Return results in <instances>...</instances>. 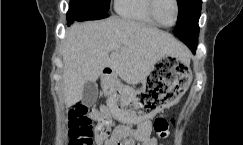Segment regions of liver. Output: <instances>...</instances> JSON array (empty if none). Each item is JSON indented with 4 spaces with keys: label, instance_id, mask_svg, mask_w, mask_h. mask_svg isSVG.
<instances>
[{
    "label": "liver",
    "instance_id": "obj_1",
    "mask_svg": "<svg viewBox=\"0 0 243 145\" xmlns=\"http://www.w3.org/2000/svg\"><path fill=\"white\" fill-rule=\"evenodd\" d=\"M166 56L186 59L188 53L172 35L155 27L117 16L76 23L67 30L62 47L65 103L80 101L85 82H95L105 68L135 85Z\"/></svg>",
    "mask_w": 243,
    "mask_h": 145
}]
</instances>
